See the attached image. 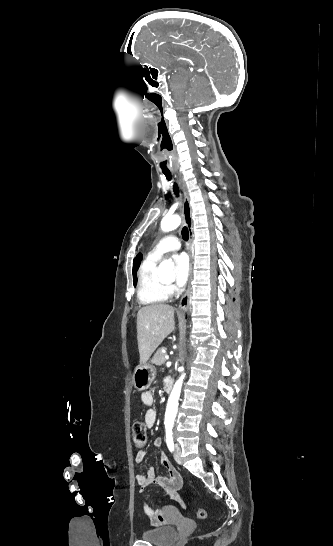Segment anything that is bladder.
<instances>
[{
    "label": "bladder",
    "mask_w": 333,
    "mask_h": 546,
    "mask_svg": "<svg viewBox=\"0 0 333 546\" xmlns=\"http://www.w3.org/2000/svg\"><path fill=\"white\" fill-rule=\"evenodd\" d=\"M178 538V532L173 526H158L142 533V539L156 546H169Z\"/></svg>",
    "instance_id": "obj_1"
}]
</instances>
